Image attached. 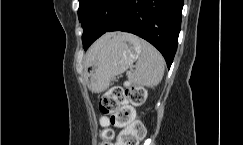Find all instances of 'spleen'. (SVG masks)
Masks as SVG:
<instances>
[{"label": "spleen", "instance_id": "obj_1", "mask_svg": "<svg viewBox=\"0 0 243 145\" xmlns=\"http://www.w3.org/2000/svg\"><path fill=\"white\" fill-rule=\"evenodd\" d=\"M140 43L142 52L137 59L135 71L128 75V79L137 85L152 88L162 80L164 59L150 43L143 40H140Z\"/></svg>", "mask_w": 243, "mask_h": 145}]
</instances>
